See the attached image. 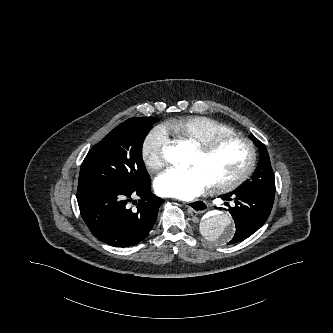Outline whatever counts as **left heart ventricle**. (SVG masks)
Here are the masks:
<instances>
[{"label": "left heart ventricle", "instance_id": "obj_1", "mask_svg": "<svg viewBox=\"0 0 333 333\" xmlns=\"http://www.w3.org/2000/svg\"><path fill=\"white\" fill-rule=\"evenodd\" d=\"M248 160L249 151L246 145L238 141H231L208 156H204L196 150L190 165L199 166L213 183L237 176L245 169Z\"/></svg>", "mask_w": 333, "mask_h": 333}]
</instances>
